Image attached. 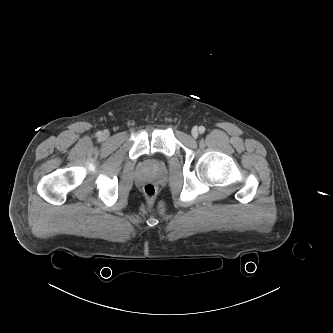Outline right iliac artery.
Here are the masks:
<instances>
[{
    "label": "right iliac artery",
    "mask_w": 333,
    "mask_h": 333,
    "mask_svg": "<svg viewBox=\"0 0 333 333\" xmlns=\"http://www.w3.org/2000/svg\"><path fill=\"white\" fill-rule=\"evenodd\" d=\"M97 136H98V137H101V136H102V132H100V131L97 132Z\"/></svg>",
    "instance_id": "1"
}]
</instances>
